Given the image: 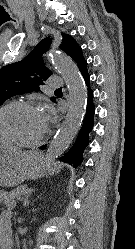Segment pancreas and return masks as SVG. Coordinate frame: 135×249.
<instances>
[{
	"instance_id": "1",
	"label": "pancreas",
	"mask_w": 135,
	"mask_h": 249,
	"mask_svg": "<svg viewBox=\"0 0 135 249\" xmlns=\"http://www.w3.org/2000/svg\"><path fill=\"white\" fill-rule=\"evenodd\" d=\"M26 193L24 188H16L12 190L9 194L8 197L12 201L14 198L20 199L22 195Z\"/></svg>"
}]
</instances>
